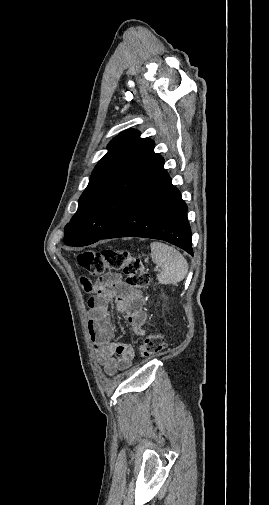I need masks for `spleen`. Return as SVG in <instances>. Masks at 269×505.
<instances>
[{"label": "spleen", "instance_id": "1", "mask_svg": "<svg viewBox=\"0 0 269 505\" xmlns=\"http://www.w3.org/2000/svg\"><path fill=\"white\" fill-rule=\"evenodd\" d=\"M152 261L161 268L157 280L161 284H177L188 272V263L184 256L174 247L153 241L150 244Z\"/></svg>", "mask_w": 269, "mask_h": 505}]
</instances>
